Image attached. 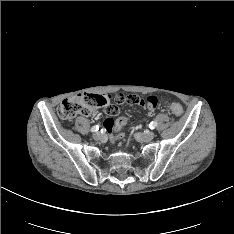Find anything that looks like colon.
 <instances>
[{"label":"colon","mask_w":234,"mask_h":234,"mask_svg":"<svg viewBox=\"0 0 234 234\" xmlns=\"http://www.w3.org/2000/svg\"><path fill=\"white\" fill-rule=\"evenodd\" d=\"M99 94H80L76 97L63 100L58 107V115L60 118L68 120L79 114L89 115L95 111H102L94 105V98ZM108 96V95H107ZM155 97V96H154ZM157 99V98H156ZM170 109L176 116L183 114V108L178 103H171Z\"/></svg>","instance_id":"5ec220e1"}]
</instances>
